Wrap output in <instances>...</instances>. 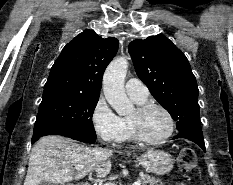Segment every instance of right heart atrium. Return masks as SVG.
Here are the masks:
<instances>
[{"label":"right heart atrium","mask_w":233,"mask_h":185,"mask_svg":"<svg viewBox=\"0 0 233 185\" xmlns=\"http://www.w3.org/2000/svg\"><path fill=\"white\" fill-rule=\"evenodd\" d=\"M91 122L96 135L104 142L122 141L125 133L123 119L109 106L106 99L100 96L91 112Z\"/></svg>","instance_id":"d8ad5b80"}]
</instances>
